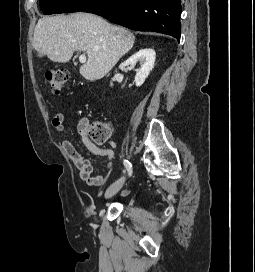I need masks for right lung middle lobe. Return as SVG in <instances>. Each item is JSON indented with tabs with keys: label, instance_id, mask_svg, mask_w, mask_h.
I'll use <instances>...</instances> for the list:
<instances>
[{
	"label": "right lung middle lobe",
	"instance_id": "1",
	"mask_svg": "<svg viewBox=\"0 0 255 272\" xmlns=\"http://www.w3.org/2000/svg\"><path fill=\"white\" fill-rule=\"evenodd\" d=\"M96 0H40V7L44 14L78 12Z\"/></svg>",
	"mask_w": 255,
	"mask_h": 272
}]
</instances>
